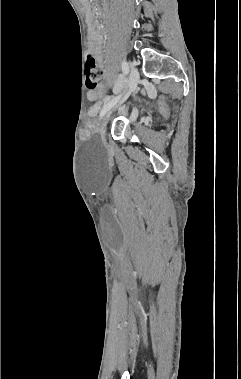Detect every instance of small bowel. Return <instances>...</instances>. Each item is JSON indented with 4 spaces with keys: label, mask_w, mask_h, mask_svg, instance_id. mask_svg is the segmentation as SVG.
Listing matches in <instances>:
<instances>
[{
    "label": "small bowel",
    "mask_w": 241,
    "mask_h": 379,
    "mask_svg": "<svg viewBox=\"0 0 241 379\" xmlns=\"http://www.w3.org/2000/svg\"><path fill=\"white\" fill-rule=\"evenodd\" d=\"M101 43H102V40H101L100 35L98 34L96 28H93L92 39H91V52L97 58L99 63L101 62L100 60ZM86 92L88 93V98L92 101L96 100V98L99 95V92H97L96 86H87ZM95 113H96V109L93 110V114Z\"/></svg>",
    "instance_id": "c3829d8e"
}]
</instances>
